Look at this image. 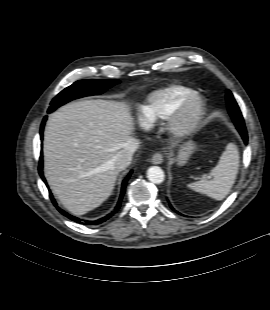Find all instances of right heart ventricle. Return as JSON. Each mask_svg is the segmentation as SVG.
Returning a JSON list of instances; mask_svg holds the SVG:
<instances>
[{
    "instance_id": "e07e8e85",
    "label": "right heart ventricle",
    "mask_w": 270,
    "mask_h": 310,
    "mask_svg": "<svg viewBox=\"0 0 270 310\" xmlns=\"http://www.w3.org/2000/svg\"><path fill=\"white\" fill-rule=\"evenodd\" d=\"M193 89L182 84H170L152 91L140 106V120L151 127L165 121L174 107Z\"/></svg>"
}]
</instances>
